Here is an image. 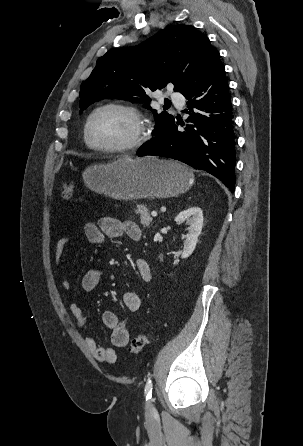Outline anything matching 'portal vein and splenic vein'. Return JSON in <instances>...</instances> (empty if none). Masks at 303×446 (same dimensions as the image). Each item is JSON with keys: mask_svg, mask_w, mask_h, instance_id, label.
Listing matches in <instances>:
<instances>
[{"mask_svg": "<svg viewBox=\"0 0 303 446\" xmlns=\"http://www.w3.org/2000/svg\"><path fill=\"white\" fill-rule=\"evenodd\" d=\"M151 215H152L153 217H156V216H157V212H156V211H152V212H151Z\"/></svg>", "mask_w": 303, "mask_h": 446, "instance_id": "portal-vein-and-splenic-vein-1", "label": "portal vein and splenic vein"}]
</instances>
